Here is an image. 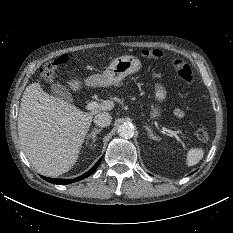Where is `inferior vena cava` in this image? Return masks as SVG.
Masks as SVG:
<instances>
[{"label": "inferior vena cava", "mask_w": 233, "mask_h": 233, "mask_svg": "<svg viewBox=\"0 0 233 233\" xmlns=\"http://www.w3.org/2000/svg\"><path fill=\"white\" fill-rule=\"evenodd\" d=\"M94 123L99 127H108L111 124L112 117L107 112L98 113L94 116Z\"/></svg>", "instance_id": "602c4592"}]
</instances>
